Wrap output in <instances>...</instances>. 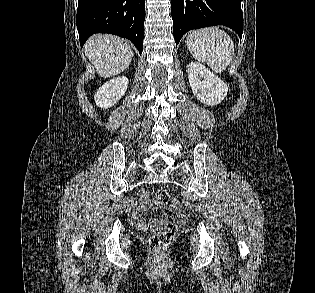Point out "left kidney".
Here are the masks:
<instances>
[{"label":"left kidney","instance_id":"1","mask_svg":"<svg viewBox=\"0 0 315 293\" xmlns=\"http://www.w3.org/2000/svg\"><path fill=\"white\" fill-rule=\"evenodd\" d=\"M188 79L193 94L205 105L215 106L227 95V85L198 62L188 65Z\"/></svg>","mask_w":315,"mask_h":293}]
</instances>
